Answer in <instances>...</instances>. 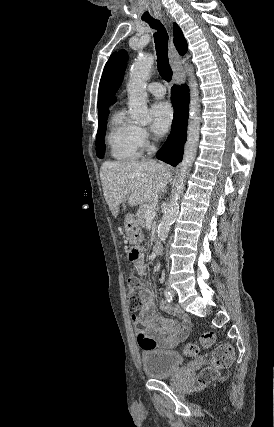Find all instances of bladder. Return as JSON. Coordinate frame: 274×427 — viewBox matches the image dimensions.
<instances>
[{
	"instance_id": "1",
	"label": "bladder",
	"mask_w": 274,
	"mask_h": 427,
	"mask_svg": "<svg viewBox=\"0 0 274 427\" xmlns=\"http://www.w3.org/2000/svg\"><path fill=\"white\" fill-rule=\"evenodd\" d=\"M144 374L150 379H167L181 369L178 352L170 349H145L140 354Z\"/></svg>"
}]
</instances>
